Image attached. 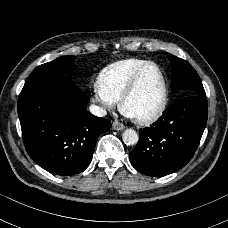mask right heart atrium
Masks as SVG:
<instances>
[{
	"mask_svg": "<svg viewBox=\"0 0 228 228\" xmlns=\"http://www.w3.org/2000/svg\"><path fill=\"white\" fill-rule=\"evenodd\" d=\"M93 100L100 106L101 109L107 110L115 106V102L101 94L97 88L94 87Z\"/></svg>",
	"mask_w": 228,
	"mask_h": 228,
	"instance_id": "d8ad5b80",
	"label": "right heart atrium"
}]
</instances>
